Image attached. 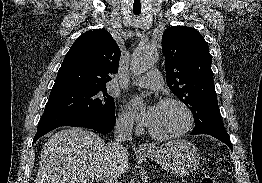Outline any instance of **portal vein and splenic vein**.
I'll use <instances>...</instances> for the list:
<instances>
[{"instance_id":"18ae733b","label":"portal vein and splenic vein","mask_w":262,"mask_h":183,"mask_svg":"<svg viewBox=\"0 0 262 183\" xmlns=\"http://www.w3.org/2000/svg\"><path fill=\"white\" fill-rule=\"evenodd\" d=\"M96 179L104 180L106 183H113L112 178H104V177L96 176Z\"/></svg>"}]
</instances>
